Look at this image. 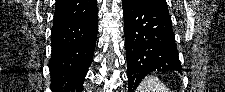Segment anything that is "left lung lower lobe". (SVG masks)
Returning <instances> with one entry per match:
<instances>
[{"label":"left lung lower lobe","instance_id":"obj_1","mask_svg":"<svg viewBox=\"0 0 225 92\" xmlns=\"http://www.w3.org/2000/svg\"><path fill=\"white\" fill-rule=\"evenodd\" d=\"M128 92L150 72L178 71L179 61L171 16L138 0H123Z\"/></svg>","mask_w":225,"mask_h":92}]
</instances>
